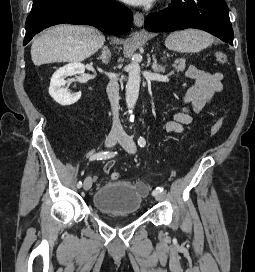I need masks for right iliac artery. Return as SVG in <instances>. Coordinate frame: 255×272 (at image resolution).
I'll return each mask as SVG.
<instances>
[{
  "mask_svg": "<svg viewBox=\"0 0 255 272\" xmlns=\"http://www.w3.org/2000/svg\"><path fill=\"white\" fill-rule=\"evenodd\" d=\"M115 154H116V152H98V153H95L94 155H91L90 156V158H89V160H102V159H109V158H112V157H114L115 156ZM81 186H82V182L81 181H79L78 183H77V187L78 188H81Z\"/></svg>",
  "mask_w": 255,
  "mask_h": 272,
  "instance_id": "obj_1",
  "label": "right iliac artery"
}]
</instances>
